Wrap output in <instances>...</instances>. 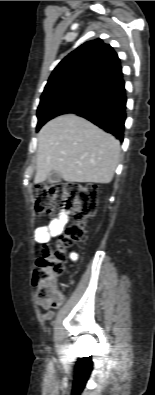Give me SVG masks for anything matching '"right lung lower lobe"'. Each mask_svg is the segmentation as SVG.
<instances>
[{
	"label": "right lung lower lobe",
	"mask_w": 155,
	"mask_h": 395,
	"mask_svg": "<svg viewBox=\"0 0 155 395\" xmlns=\"http://www.w3.org/2000/svg\"><path fill=\"white\" fill-rule=\"evenodd\" d=\"M126 101L125 82L123 74H120L109 80L85 102L77 105L68 113L82 116L122 142L126 119Z\"/></svg>",
	"instance_id": "98d812e1"
}]
</instances>
